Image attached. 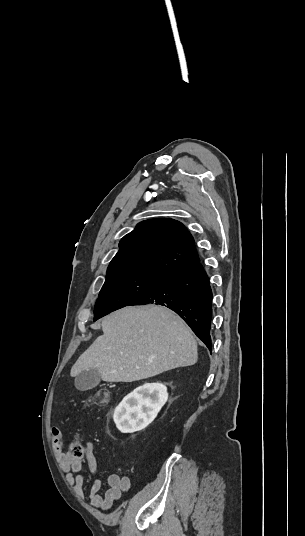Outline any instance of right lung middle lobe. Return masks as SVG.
I'll return each instance as SVG.
<instances>
[{"instance_id":"obj_1","label":"right lung middle lobe","mask_w":305,"mask_h":536,"mask_svg":"<svg viewBox=\"0 0 305 536\" xmlns=\"http://www.w3.org/2000/svg\"><path fill=\"white\" fill-rule=\"evenodd\" d=\"M162 275L128 274L106 278L95 304L94 321L128 306L164 279Z\"/></svg>"}]
</instances>
